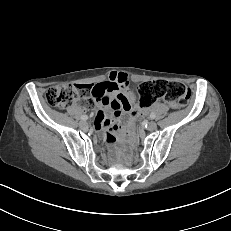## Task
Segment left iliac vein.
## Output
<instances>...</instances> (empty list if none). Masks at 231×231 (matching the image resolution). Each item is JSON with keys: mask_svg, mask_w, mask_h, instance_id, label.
I'll return each instance as SVG.
<instances>
[{"mask_svg": "<svg viewBox=\"0 0 231 231\" xmlns=\"http://www.w3.org/2000/svg\"><path fill=\"white\" fill-rule=\"evenodd\" d=\"M147 129L149 131H154L157 129V124L154 121L148 123Z\"/></svg>", "mask_w": 231, "mask_h": 231, "instance_id": "left-iliac-vein-1", "label": "left iliac vein"}]
</instances>
